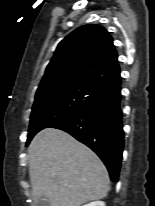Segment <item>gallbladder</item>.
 I'll return each mask as SVG.
<instances>
[{"mask_svg":"<svg viewBox=\"0 0 155 206\" xmlns=\"http://www.w3.org/2000/svg\"><path fill=\"white\" fill-rule=\"evenodd\" d=\"M36 206H50L49 202L47 201L46 198L42 197L38 203L36 204Z\"/></svg>","mask_w":155,"mask_h":206,"instance_id":"bac80fb5","label":"gallbladder"}]
</instances>
